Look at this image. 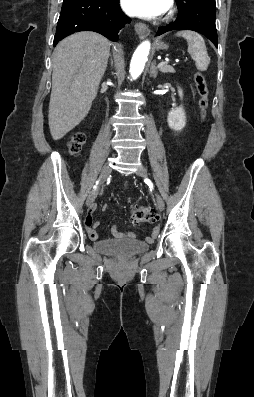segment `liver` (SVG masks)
<instances>
[{"instance_id":"liver-1","label":"liver","mask_w":254,"mask_h":397,"mask_svg":"<svg viewBox=\"0 0 254 397\" xmlns=\"http://www.w3.org/2000/svg\"><path fill=\"white\" fill-rule=\"evenodd\" d=\"M110 46L102 35L83 31L54 49L48 114L54 140L63 138L88 114L107 67Z\"/></svg>"}]
</instances>
